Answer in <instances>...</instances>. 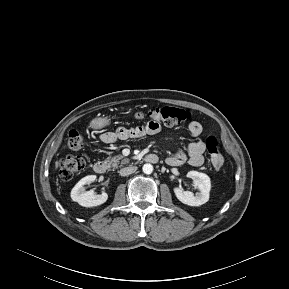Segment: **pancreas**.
I'll list each match as a JSON object with an SVG mask.
<instances>
[{"label": "pancreas", "mask_w": 289, "mask_h": 289, "mask_svg": "<svg viewBox=\"0 0 289 289\" xmlns=\"http://www.w3.org/2000/svg\"><path fill=\"white\" fill-rule=\"evenodd\" d=\"M120 160H121V164H124V163L127 162L126 159H123V156H122V155H117V156L112 157L111 159L108 158V159L106 160V163L109 164V165H111V166L114 167V168H117Z\"/></svg>", "instance_id": "1"}]
</instances>
